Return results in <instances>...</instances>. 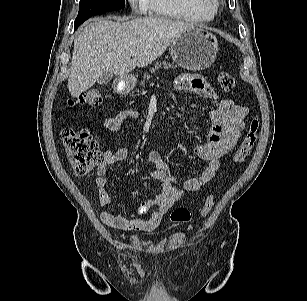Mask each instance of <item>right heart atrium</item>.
I'll return each mask as SVG.
<instances>
[{
    "label": "right heart atrium",
    "mask_w": 307,
    "mask_h": 301,
    "mask_svg": "<svg viewBox=\"0 0 307 301\" xmlns=\"http://www.w3.org/2000/svg\"><path fill=\"white\" fill-rule=\"evenodd\" d=\"M129 2L132 6L140 5L142 9L145 8V0H129Z\"/></svg>",
    "instance_id": "1"
}]
</instances>
